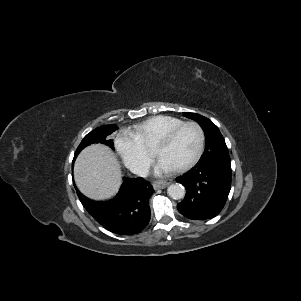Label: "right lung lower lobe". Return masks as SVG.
I'll list each match as a JSON object with an SVG mask.
<instances>
[{
  "label": "right lung lower lobe",
  "mask_w": 301,
  "mask_h": 301,
  "mask_svg": "<svg viewBox=\"0 0 301 301\" xmlns=\"http://www.w3.org/2000/svg\"><path fill=\"white\" fill-rule=\"evenodd\" d=\"M154 190L142 178H124L118 194L108 201H93L77 191L78 197L92 217L105 229L117 235H133L150 221L148 200Z\"/></svg>",
  "instance_id": "right-lung-lower-lobe-1"
}]
</instances>
